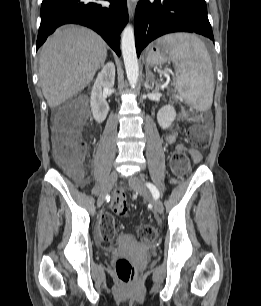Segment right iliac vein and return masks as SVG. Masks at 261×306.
Listing matches in <instances>:
<instances>
[{"label": "right iliac vein", "mask_w": 261, "mask_h": 306, "mask_svg": "<svg viewBox=\"0 0 261 306\" xmlns=\"http://www.w3.org/2000/svg\"><path fill=\"white\" fill-rule=\"evenodd\" d=\"M118 175L117 172L113 171L111 172V174L109 175L99 197H98V201H97V206L100 208L103 203L104 200L106 198V196L108 195V193L111 191L112 187L114 186L115 182L117 181Z\"/></svg>", "instance_id": "obj_1"}]
</instances>
